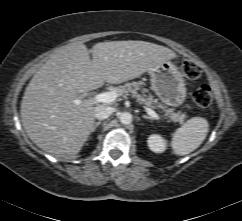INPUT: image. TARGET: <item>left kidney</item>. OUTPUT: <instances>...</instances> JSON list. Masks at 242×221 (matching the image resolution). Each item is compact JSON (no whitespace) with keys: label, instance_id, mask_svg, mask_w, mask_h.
<instances>
[{"label":"left kidney","instance_id":"obj_1","mask_svg":"<svg viewBox=\"0 0 242 221\" xmlns=\"http://www.w3.org/2000/svg\"><path fill=\"white\" fill-rule=\"evenodd\" d=\"M147 142L149 148L155 153H161L166 148L164 139L159 135H151Z\"/></svg>","mask_w":242,"mask_h":221}]
</instances>
